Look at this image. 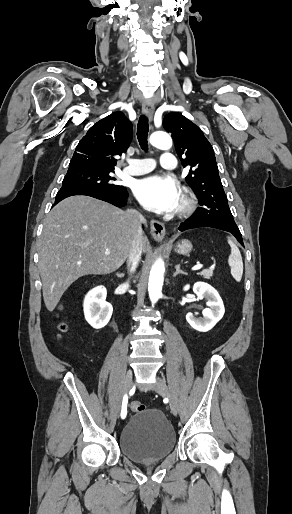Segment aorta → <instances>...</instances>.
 Here are the masks:
<instances>
[{
  "label": "aorta",
  "mask_w": 292,
  "mask_h": 514,
  "mask_svg": "<svg viewBox=\"0 0 292 514\" xmlns=\"http://www.w3.org/2000/svg\"><path fill=\"white\" fill-rule=\"evenodd\" d=\"M150 144L159 150H170L172 140L166 132H154L150 136ZM164 262L158 260L151 268L148 284L149 298L153 304L159 300L163 286Z\"/></svg>",
  "instance_id": "obj_1"
}]
</instances>
